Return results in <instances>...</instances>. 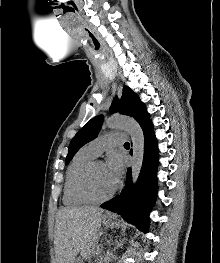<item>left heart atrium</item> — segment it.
Here are the masks:
<instances>
[{
    "mask_svg": "<svg viewBox=\"0 0 220 263\" xmlns=\"http://www.w3.org/2000/svg\"><path fill=\"white\" fill-rule=\"evenodd\" d=\"M108 176L117 183L123 173V160L117 153H111L105 163Z\"/></svg>",
    "mask_w": 220,
    "mask_h": 263,
    "instance_id": "obj_1",
    "label": "left heart atrium"
}]
</instances>
